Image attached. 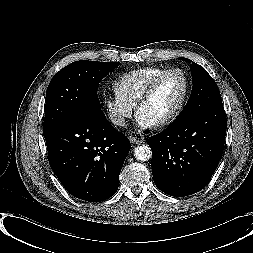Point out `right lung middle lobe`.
Instances as JSON below:
<instances>
[{
    "label": "right lung middle lobe",
    "instance_id": "right-lung-middle-lobe-1",
    "mask_svg": "<svg viewBox=\"0 0 253 253\" xmlns=\"http://www.w3.org/2000/svg\"><path fill=\"white\" fill-rule=\"evenodd\" d=\"M118 65L119 62L75 61L58 71L46 92L44 137L80 112L102 113L98 85Z\"/></svg>",
    "mask_w": 253,
    "mask_h": 253
}]
</instances>
